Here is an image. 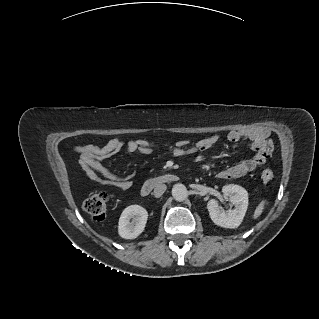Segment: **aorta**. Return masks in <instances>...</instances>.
Listing matches in <instances>:
<instances>
[{
  "mask_svg": "<svg viewBox=\"0 0 319 319\" xmlns=\"http://www.w3.org/2000/svg\"><path fill=\"white\" fill-rule=\"evenodd\" d=\"M172 196L178 201H184L188 197V190L185 185L177 183L172 188Z\"/></svg>",
  "mask_w": 319,
  "mask_h": 319,
  "instance_id": "762f6f07",
  "label": "aorta"
}]
</instances>
